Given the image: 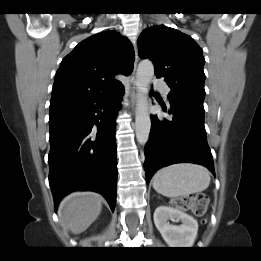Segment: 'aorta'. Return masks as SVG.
<instances>
[{
    "mask_svg": "<svg viewBox=\"0 0 261 261\" xmlns=\"http://www.w3.org/2000/svg\"><path fill=\"white\" fill-rule=\"evenodd\" d=\"M154 76V66L151 61L143 60L139 63L136 73L138 102L136 107L135 131L139 144L144 145L149 139L151 129L150 115L147 109V94L149 84Z\"/></svg>",
    "mask_w": 261,
    "mask_h": 261,
    "instance_id": "1",
    "label": "aorta"
}]
</instances>
